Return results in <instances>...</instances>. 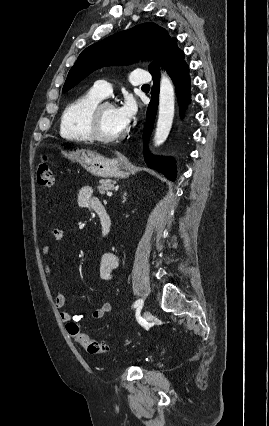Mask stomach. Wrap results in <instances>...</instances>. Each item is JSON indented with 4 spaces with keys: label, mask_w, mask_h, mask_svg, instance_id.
I'll return each mask as SVG.
<instances>
[{
    "label": "stomach",
    "mask_w": 269,
    "mask_h": 426,
    "mask_svg": "<svg viewBox=\"0 0 269 426\" xmlns=\"http://www.w3.org/2000/svg\"><path fill=\"white\" fill-rule=\"evenodd\" d=\"M61 154L72 161L78 162L88 172L103 178H127L131 168L122 158L107 159L90 150L78 149L73 152L61 151Z\"/></svg>",
    "instance_id": "obj_1"
}]
</instances>
